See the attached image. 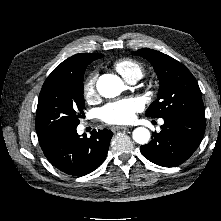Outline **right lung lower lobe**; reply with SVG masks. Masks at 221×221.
<instances>
[{
  "instance_id": "1",
  "label": "right lung lower lobe",
  "mask_w": 221,
  "mask_h": 221,
  "mask_svg": "<svg viewBox=\"0 0 221 221\" xmlns=\"http://www.w3.org/2000/svg\"><path fill=\"white\" fill-rule=\"evenodd\" d=\"M113 133L93 130L90 138L80 137L75 128H67L38 137L48 161L62 172L84 176L95 170L106 158Z\"/></svg>"
}]
</instances>
